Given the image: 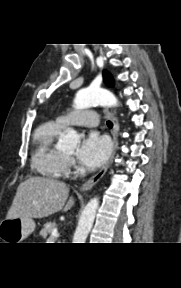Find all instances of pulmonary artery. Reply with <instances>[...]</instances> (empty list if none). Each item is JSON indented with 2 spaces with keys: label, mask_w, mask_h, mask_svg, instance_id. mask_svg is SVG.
Returning <instances> with one entry per match:
<instances>
[{
  "label": "pulmonary artery",
  "mask_w": 181,
  "mask_h": 288,
  "mask_svg": "<svg viewBox=\"0 0 181 288\" xmlns=\"http://www.w3.org/2000/svg\"><path fill=\"white\" fill-rule=\"evenodd\" d=\"M63 127H96L98 125V116L92 110L78 111L75 113L61 116L57 120Z\"/></svg>",
  "instance_id": "1"
}]
</instances>
